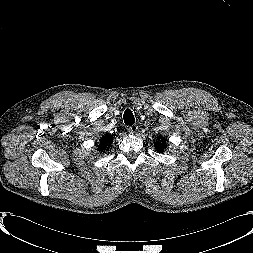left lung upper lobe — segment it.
I'll use <instances>...</instances> for the list:
<instances>
[{
  "label": "left lung upper lobe",
  "instance_id": "1",
  "mask_svg": "<svg viewBox=\"0 0 253 253\" xmlns=\"http://www.w3.org/2000/svg\"><path fill=\"white\" fill-rule=\"evenodd\" d=\"M157 140L158 141H160V142H158V144H155V147H156V149L159 151V152H163L164 151V148H166V142L164 141L165 139L164 138H162L161 139V137L159 136L158 138H157Z\"/></svg>",
  "mask_w": 253,
  "mask_h": 253
}]
</instances>
